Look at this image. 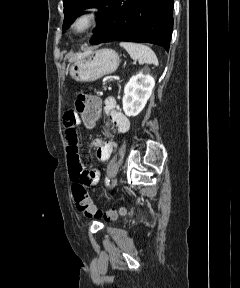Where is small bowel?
I'll return each instance as SVG.
<instances>
[{"label": "small bowel", "instance_id": "small-bowel-1", "mask_svg": "<svg viewBox=\"0 0 240 288\" xmlns=\"http://www.w3.org/2000/svg\"><path fill=\"white\" fill-rule=\"evenodd\" d=\"M103 111L107 118L106 138H96L93 146L96 148V156L100 161H106L116 149V143L111 140L116 134L126 133L130 128V121L117 109L114 96H107L103 102ZM81 120L74 110H67L63 115V129L66 141L68 171L74 184H80L85 188L98 184L100 172L97 169H87L83 165L79 155L78 126Z\"/></svg>", "mask_w": 240, "mask_h": 288}]
</instances>
